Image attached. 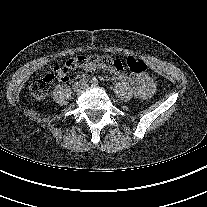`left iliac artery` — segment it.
<instances>
[{"mask_svg":"<svg viewBox=\"0 0 207 207\" xmlns=\"http://www.w3.org/2000/svg\"><path fill=\"white\" fill-rule=\"evenodd\" d=\"M91 83H92L93 85H97V84H98V79L95 78V77L92 78Z\"/></svg>","mask_w":207,"mask_h":207,"instance_id":"44dca946","label":"left iliac artery"}]
</instances>
